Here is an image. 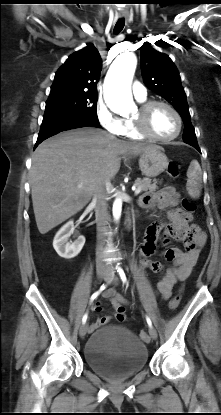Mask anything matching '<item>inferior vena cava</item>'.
Returning <instances> with one entry per match:
<instances>
[{
	"label": "inferior vena cava",
	"instance_id": "602c4592",
	"mask_svg": "<svg viewBox=\"0 0 221 415\" xmlns=\"http://www.w3.org/2000/svg\"><path fill=\"white\" fill-rule=\"evenodd\" d=\"M109 184V179L101 182L95 192H94V201H95V217L97 223V251H96V267L97 268H107L104 259V246H105V232L106 225L108 222V203H107V185Z\"/></svg>",
	"mask_w": 221,
	"mask_h": 415
}]
</instances>
